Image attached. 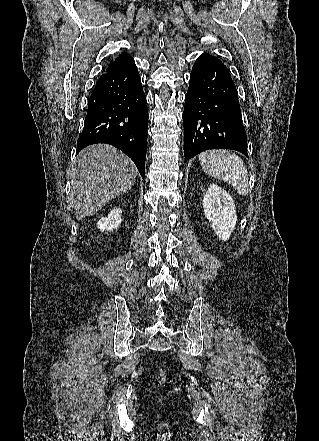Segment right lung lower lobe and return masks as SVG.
<instances>
[{
    "mask_svg": "<svg viewBox=\"0 0 319 441\" xmlns=\"http://www.w3.org/2000/svg\"><path fill=\"white\" fill-rule=\"evenodd\" d=\"M146 102L133 59L104 73L88 101L76 154L96 143L113 145L133 160L144 178L148 127Z\"/></svg>",
    "mask_w": 319,
    "mask_h": 441,
    "instance_id": "1",
    "label": "right lung lower lobe"
}]
</instances>
